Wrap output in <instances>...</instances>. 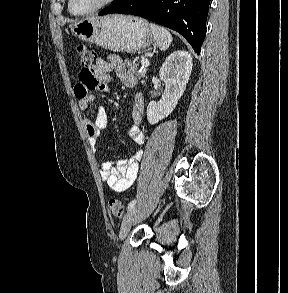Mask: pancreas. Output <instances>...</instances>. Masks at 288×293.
Returning <instances> with one entry per match:
<instances>
[{
    "label": "pancreas",
    "instance_id": "obj_1",
    "mask_svg": "<svg viewBox=\"0 0 288 293\" xmlns=\"http://www.w3.org/2000/svg\"><path fill=\"white\" fill-rule=\"evenodd\" d=\"M125 63L127 67H129V70L136 75L137 78H142L145 76L147 68L143 67L141 71L138 70L137 64L129 59H125Z\"/></svg>",
    "mask_w": 288,
    "mask_h": 293
}]
</instances>
